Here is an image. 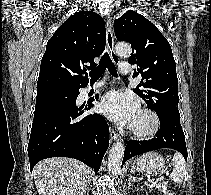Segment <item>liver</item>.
Segmentation results:
<instances>
[{
  "label": "liver",
  "mask_w": 211,
  "mask_h": 195,
  "mask_svg": "<svg viewBox=\"0 0 211 195\" xmlns=\"http://www.w3.org/2000/svg\"><path fill=\"white\" fill-rule=\"evenodd\" d=\"M90 170L82 162L65 157L40 161L33 170L39 195H84Z\"/></svg>",
  "instance_id": "1"
}]
</instances>
